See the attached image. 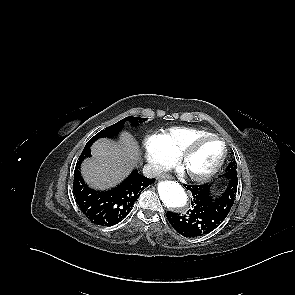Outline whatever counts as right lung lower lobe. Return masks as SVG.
<instances>
[{"label":"right lung lower lobe","mask_w":295,"mask_h":295,"mask_svg":"<svg viewBox=\"0 0 295 295\" xmlns=\"http://www.w3.org/2000/svg\"><path fill=\"white\" fill-rule=\"evenodd\" d=\"M91 156L90 149L80 155L74 172V194L77 203L93 223L102 226H111L122 221L130 212L141 191L155 182L134 170L127 179L117 187L108 191H96L85 184L80 164L86 157Z\"/></svg>","instance_id":"1"}]
</instances>
